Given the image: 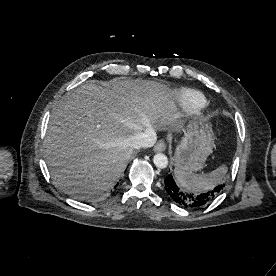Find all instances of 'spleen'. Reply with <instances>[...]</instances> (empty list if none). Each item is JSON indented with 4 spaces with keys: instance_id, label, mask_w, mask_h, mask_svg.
Segmentation results:
<instances>
[{
    "instance_id": "1",
    "label": "spleen",
    "mask_w": 276,
    "mask_h": 276,
    "mask_svg": "<svg viewBox=\"0 0 276 276\" xmlns=\"http://www.w3.org/2000/svg\"><path fill=\"white\" fill-rule=\"evenodd\" d=\"M227 166L222 165L210 173L194 174L175 169L174 173L179 184L188 191L203 192L220 184L227 173Z\"/></svg>"
}]
</instances>
